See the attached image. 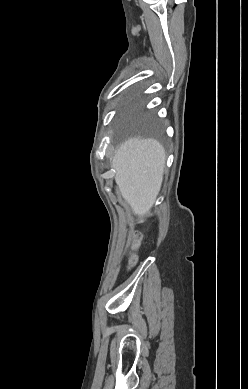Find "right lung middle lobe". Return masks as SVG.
<instances>
[{"mask_svg":"<svg viewBox=\"0 0 248 389\" xmlns=\"http://www.w3.org/2000/svg\"><path fill=\"white\" fill-rule=\"evenodd\" d=\"M134 127L142 135L155 136L159 134L158 128L155 126L150 117H143L139 119Z\"/></svg>","mask_w":248,"mask_h":389,"instance_id":"obj_1","label":"right lung middle lobe"}]
</instances>
